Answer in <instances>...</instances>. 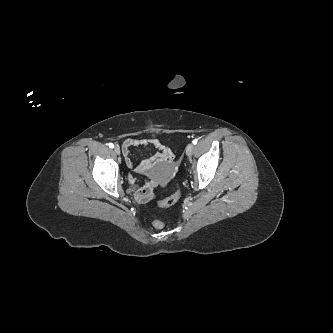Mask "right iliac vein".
I'll list each match as a JSON object with an SVG mask.
<instances>
[{
  "mask_svg": "<svg viewBox=\"0 0 333 333\" xmlns=\"http://www.w3.org/2000/svg\"><path fill=\"white\" fill-rule=\"evenodd\" d=\"M114 152H115L117 155H120V148L116 146V147L114 148Z\"/></svg>",
  "mask_w": 333,
  "mask_h": 333,
  "instance_id": "63e3f726",
  "label": "right iliac vein"
}]
</instances>
